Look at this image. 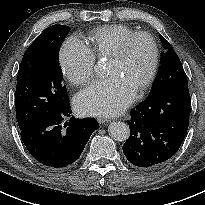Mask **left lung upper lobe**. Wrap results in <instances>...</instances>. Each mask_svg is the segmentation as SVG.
Instances as JSON below:
<instances>
[{
	"mask_svg": "<svg viewBox=\"0 0 205 205\" xmlns=\"http://www.w3.org/2000/svg\"><path fill=\"white\" fill-rule=\"evenodd\" d=\"M160 39L165 51L162 53L161 66L149 95L164 93L179 81L187 80L178 55L162 35H160Z\"/></svg>",
	"mask_w": 205,
	"mask_h": 205,
	"instance_id": "5c2ea615",
	"label": "left lung upper lobe"
}]
</instances>
